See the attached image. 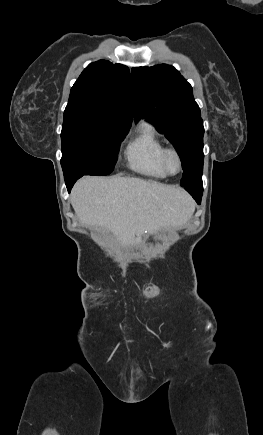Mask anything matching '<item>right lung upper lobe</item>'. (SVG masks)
<instances>
[{
    "mask_svg": "<svg viewBox=\"0 0 263 435\" xmlns=\"http://www.w3.org/2000/svg\"><path fill=\"white\" fill-rule=\"evenodd\" d=\"M128 67L99 60L89 64L71 88L64 113L87 112L129 129L136 114Z\"/></svg>",
    "mask_w": 263,
    "mask_h": 435,
    "instance_id": "cb5924a9",
    "label": "right lung upper lobe"
}]
</instances>
